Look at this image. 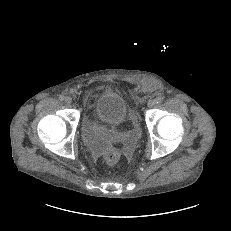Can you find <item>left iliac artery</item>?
Returning a JSON list of instances; mask_svg holds the SVG:
<instances>
[{
    "mask_svg": "<svg viewBox=\"0 0 231 231\" xmlns=\"http://www.w3.org/2000/svg\"><path fill=\"white\" fill-rule=\"evenodd\" d=\"M161 102H162V98L157 97V98L155 99V103L159 104V103H161Z\"/></svg>",
    "mask_w": 231,
    "mask_h": 231,
    "instance_id": "obj_1",
    "label": "left iliac artery"
}]
</instances>
